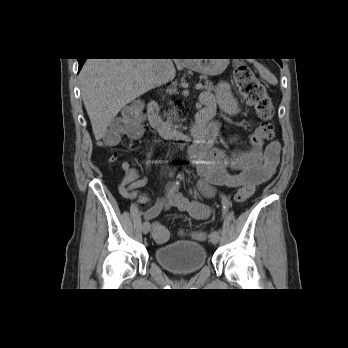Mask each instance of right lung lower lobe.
<instances>
[{
    "instance_id": "98d812e1",
    "label": "right lung lower lobe",
    "mask_w": 348,
    "mask_h": 348,
    "mask_svg": "<svg viewBox=\"0 0 348 348\" xmlns=\"http://www.w3.org/2000/svg\"><path fill=\"white\" fill-rule=\"evenodd\" d=\"M86 59H78V62H79V69H78V72L81 70L84 62H85Z\"/></svg>"
}]
</instances>
